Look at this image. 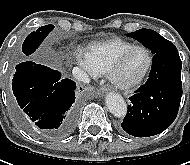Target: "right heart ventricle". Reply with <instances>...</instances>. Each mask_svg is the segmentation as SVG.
<instances>
[{
	"mask_svg": "<svg viewBox=\"0 0 190 165\" xmlns=\"http://www.w3.org/2000/svg\"><path fill=\"white\" fill-rule=\"evenodd\" d=\"M133 45L118 37L89 45L85 58L90 71L97 76L109 75L119 55Z\"/></svg>",
	"mask_w": 190,
	"mask_h": 165,
	"instance_id": "right-heart-ventricle-1",
	"label": "right heart ventricle"
}]
</instances>
